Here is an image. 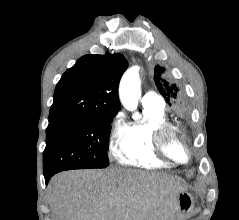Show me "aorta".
I'll list each match as a JSON object with an SVG mask.
<instances>
[{
  "instance_id": "762f6f07",
  "label": "aorta",
  "mask_w": 239,
  "mask_h": 220,
  "mask_svg": "<svg viewBox=\"0 0 239 220\" xmlns=\"http://www.w3.org/2000/svg\"><path fill=\"white\" fill-rule=\"evenodd\" d=\"M139 68L132 67L123 75L119 86V97L123 106L129 111H135L141 95Z\"/></svg>"
}]
</instances>
